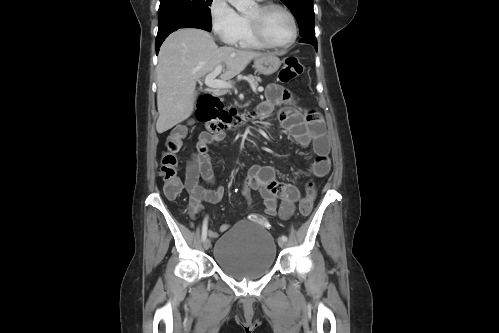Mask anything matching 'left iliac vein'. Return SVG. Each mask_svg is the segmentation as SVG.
Returning <instances> with one entry per match:
<instances>
[{
    "label": "left iliac vein",
    "mask_w": 499,
    "mask_h": 333,
    "mask_svg": "<svg viewBox=\"0 0 499 333\" xmlns=\"http://www.w3.org/2000/svg\"><path fill=\"white\" fill-rule=\"evenodd\" d=\"M278 245L281 248H284L286 246V241L282 240L281 238L278 239Z\"/></svg>",
    "instance_id": "1"
}]
</instances>
